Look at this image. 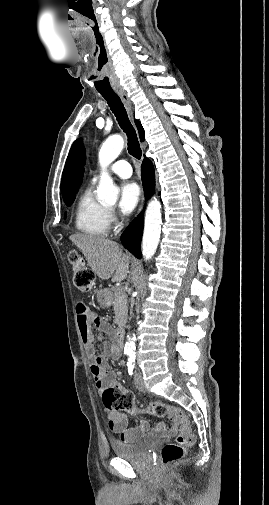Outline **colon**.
<instances>
[{
    "mask_svg": "<svg viewBox=\"0 0 269 505\" xmlns=\"http://www.w3.org/2000/svg\"><path fill=\"white\" fill-rule=\"evenodd\" d=\"M69 259L73 267V279L76 288L83 293L91 292L95 284L94 273L84 264L77 253L71 252ZM102 401L107 409H119L130 414H134L139 410L135 405L134 395L131 392L124 391L117 383L112 384L103 391ZM141 410L158 417L169 415L179 424L180 433L173 442L163 446L161 458L165 465L181 460L186 453V448L194 440L190 433V423L187 416L181 410L164 404L151 405Z\"/></svg>",
    "mask_w": 269,
    "mask_h": 505,
    "instance_id": "1",
    "label": "colon"
}]
</instances>
